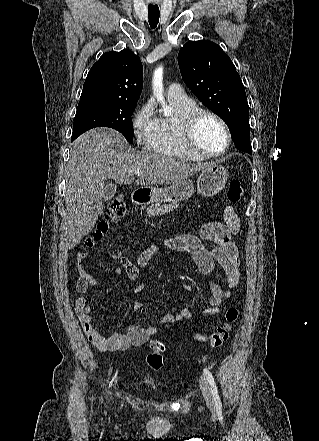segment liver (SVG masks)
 Segmentation results:
<instances>
[{"label":"liver","instance_id":"obj_1","mask_svg":"<svg viewBox=\"0 0 319 441\" xmlns=\"http://www.w3.org/2000/svg\"><path fill=\"white\" fill-rule=\"evenodd\" d=\"M208 165L132 151L123 135L110 128L99 127L84 133L70 145L66 170V247L73 249L93 230L103 213L107 180L133 183V170L139 168L137 185H175Z\"/></svg>","mask_w":319,"mask_h":441}]
</instances>
